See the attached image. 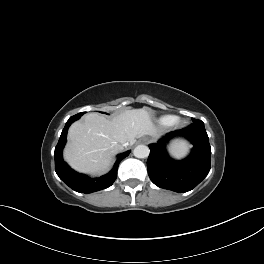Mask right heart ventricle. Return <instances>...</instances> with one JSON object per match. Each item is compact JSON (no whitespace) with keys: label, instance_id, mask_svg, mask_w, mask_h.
Masks as SVG:
<instances>
[{"label":"right heart ventricle","instance_id":"obj_1","mask_svg":"<svg viewBox=\"0 0 264 264\" xmlns=\"http://www.w3.org/2000/svg\"><path fill=\"white\" fill-rule=\"evenodd\" d=\"M176 122V117L173 115H164L162 117H160L158 119V123L162 126V127H170L172 125H174Z\"/></svg>","mask_w":264,"mask_h":264}]
</instances>
